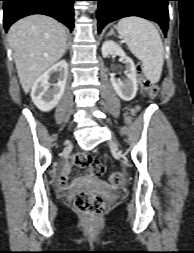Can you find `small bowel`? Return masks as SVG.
<instances>
[{
  "instance_id": "1",
  "label": "small bowel",
  "mask_w": 194,
  "mask_h": 253,
  "mask_svg": "<svg viewBox=\"0 0 194 253\" xmlns=\"http://www.w3.org/2000/svg\"><path fill=\"white\" fill-rule=\"evenodd\" d=\"M70 170V164L66 163L62 171L56 176V183L60 189L67 188V175Z\"/></svg>"
}]
</instances>
